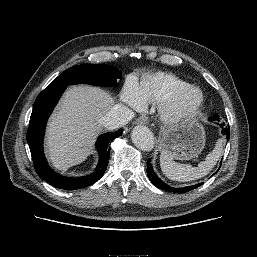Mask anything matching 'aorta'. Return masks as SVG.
<instances>
[{"instance_id":"obj_1","label":"aorta","mask_w":257,"mask_h":257,"mask_svg":"<svg viewBox=\"0 0 257 257\" xmlns=\"http://www.w3.org/2000/svg\"><path fill=\"white\" fill-rule=\"evenodd\" d=\"M131 138L133 143L142 151H151L154 147V136L146 126H136L132 130Z\"/></svg>"}]
</instances>
